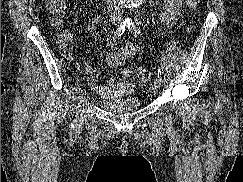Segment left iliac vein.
<instances>
[{"mask_svg":"<svg viewBox=\"0 0 243 182\" xmlns=\"http://www.w3.org/2000/svg\"><path fill=\"white\" fill-rule=\"evenodd\" d=\"M160 85H161V80L160 78H157L154 82L155 89L160 88Z\"/></svg>","mask_w":243,"mask_h":182,"instance_id":"left-iliac-vein-1","label":"left iliac vein"}]
</instances>
